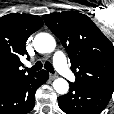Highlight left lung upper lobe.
Wrapping results in <instances>:
<instances>
[{"label":"left lung upper lobe","instance_id":"5c2ea615","mask_svg":"<svg viewBox=\"0 0 114 114\" xmlns=\"http://www.w3.org/2000/svg\"><path fill=\"white\" fill-rule=\"evenodd\" d=\"M61 40L71 61L76 81L114 91V47L91 19L75 11L43 16Z\"/></svg>","mask_w":114,"mask_h":114}]
</instances>
